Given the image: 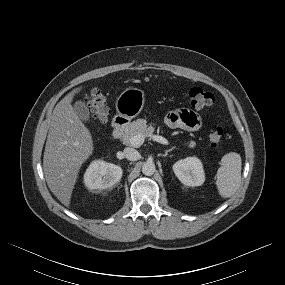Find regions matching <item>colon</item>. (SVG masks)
<instances>
[{
  "label": "colon",
  "instance_id": "1",
  "mask_svg": "<svg viewBox=\"0 0 285 285\" xmlns=\"http://www.w3.org/2000/svg\"><path fill=\"white\" fill-rule=\"evenodd\" d=\"M190 104L195 109H203L211 106L214 103V96L199 87L191 88L187 93ZM86 103L91 111L93 120L99 124L107 121L109 109L106 105V100L102 92L98 89H93L86 97ZM224 136V129L220 126L213 127L208 133V141L212 147L220 144Z\"/></svg>",
  "mask_w": 285,
  "mask_h": 285
}]
</instances>
